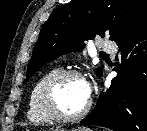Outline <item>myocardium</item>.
I'll list each match as a JSON object with an SVG mask.
<instances>
[{
  "label": "myocardium",
  "mask_w": 147,
  "mask_h": 131,
  "mask_svg": "<svg viewBox=\"0 0 147 131\" xmlns=\"http://www.w3.org/2000/svg\"><path fill=\"white\" fill-rule=\"evenodd\" d=\"M68 78H78L85 81L84 76L81 72L74 69L61 70L51 76L43 85L40 100L41 105L45 113L56 121L61 122H72L77 121L88 114L91 109V100L89 99L86 106L78 113L65 114L63 113L56 101V90L58 86Z\"/></svg>",
  "instance_id": "f54148a6"
}]
</instances>
